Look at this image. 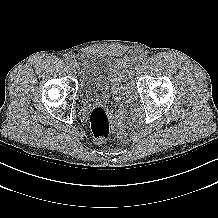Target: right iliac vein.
Masks as SVG:
<instances>
[{"label": "right iliac vein", "instance_id": "63e3f726", "mask_svg": "<svg viewBox=\"0 0 218 218\" xmlns=\"http://www.w3.org/2000/svg\"><path fill=\"white\" fill-rule=\"evenodd\" d=\"M70 66H71V69H72L73 71L76 72V71L78 70V63H77L76 60H73Z\"/></svg>", "mask_w": 218, "mask_h": 218}]
</instances>
